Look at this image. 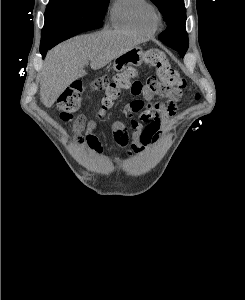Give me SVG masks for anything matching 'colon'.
I'll return each mask as SVG.
<instances>
[{
	"label": "colon",
	"mask_w": 245,
	"mask_h": 300,
	"mask_svg": "<svg viewBox=\"0 0 245 300\" xmlns=\"http://www.w3.org/2000/svg\"><path fill=\"white\" fill-rule=\"evenodd\" d=\"M146 62L156 69L157 77L148 80L146 85L153 93H159L165 96L169 101L176 102L180 99L187 83L180 73L172 67L166 55L160 50H150L145 55ZM137 71L134 68H128L120 73L109 77L107 74H101L96 77L91 87L93 89L104 90L105 94L101 101V107L97 112L98 117H103L110 110L121 92L125 89L136 90L137 81H133ZM85 92V86L81 81L73 82L60 96L58 106L60 108V117L64 122H71L73 114L79 109L82 96ZM131 106L139 110L143 102L139 99L133 100Z\"/></svg>",
	"instance_id": "5ec220e1"
}]
</instances>
